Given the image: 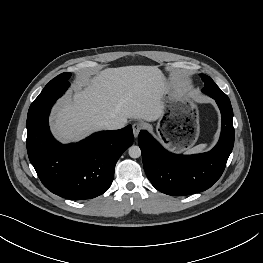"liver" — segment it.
<instances>
[{
    "label": "liver",
    "instance_id": "6515ba94",
    "mask_svg": "<svg viewBox=\"0 0 263 263\" xmlns=\"http://www.w3.org/2000/svg\"><path fill=\"white\" fill-rule=\"evenodd\" d=\"M169 84L156 66L107 68L94 77H79L75 93L54 109L52 129L62 142L105 129L108 120L156 121L164 114L163 95Z\"/></svg>",
    "mask_w": 263,
    "mask_h": 263
}]
</instances>
